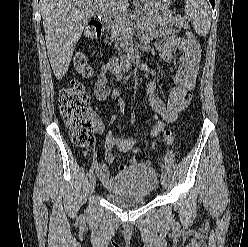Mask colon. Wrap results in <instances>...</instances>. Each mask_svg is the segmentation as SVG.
Segmentation results:
<instances>
[{
  "mask_svg": "<svg viewBox=\"0 0 248 247\" xmlns=\"http://www.w3.org/2000/svg\"><path fill=\"white\" fill-rule=\"evenodd\" d=\"M101 28L96 20L90 21L85 28V35L89 39L99 37ZM187 39L195 40L192 32H187ZM74 67L76 71L84 77H91L94 69L82 52H77L74 56ZM59 108L64 123L69 131L73 143L81 148H92L94 145V125L89 104V96L84 86L78 81H72L69 87L63 88L59 92ZM166 121L159 117L149 134L148 149L152 151L155 147Z\"/></svg>",
  "mask_w": 248,
  "mask_h": 247,
  "instance_id": "5ec220e1",
  "label": "colon"
}]
</instances>
